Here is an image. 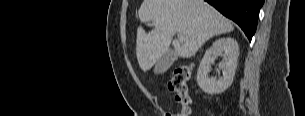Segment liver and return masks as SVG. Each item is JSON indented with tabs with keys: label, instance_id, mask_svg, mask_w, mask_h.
<instances>
[{
	"label": "liver",
	"instance_id": "obj_1",
	"mask_svg": "<svg viewBox=\"0 0 305 116\" xmlns=\"http://www.w3.org/2000/svg\"><path fill=\"white\" fill-rule=\"evenodd\" d=\"M138 16L141 22H152L149 33L139 26L136 56L145 72L168 51L173 35L175 53L183 58L193 56L211 37L234 30L230 20L204 0H144Z\"/></svg>",
	"mask_w": 305,
	"mask_h": 116
}]
</instances>
